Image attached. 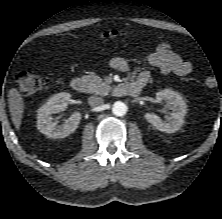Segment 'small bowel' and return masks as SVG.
Returning a JSON list of instances; mask_svg holds the SVG:
<instances>
[{"label":"small bowel","mask_w":222,"mask_h":219,"mask_svg":"<svg viewBox=\"0 0 222 219\" xmlns=\"http://www.w3.org/2000/svg\"><path fill=\"white\" fill-rule=\"evenodd\" d=\"M149 65L156 67L163 75L175 74L186 76L193 70L191 62L183 59L179 54L173 51L168 43H160L154 51L146 55ZM110 66L122 73L128 72L129 63L122 57H113L110 59ZM149 76L146 72H142L136 78V82L145 84Z\"/></svg>","instance_id":"small-bowel-1"}]
</instances>
